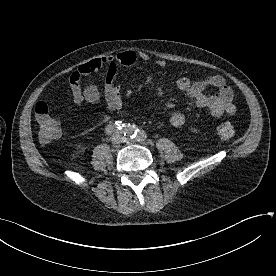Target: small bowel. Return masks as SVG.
<instances>
[{"mask_svg":"<svg viewBox=\"0 0 276 276\" xmlns=\"http://www.w3.org/2000/svg\"><path fill=\"white\" fill-rule=\"evenodd\" d=\"M149 55L141 51L127 50L116 55H110L92 59L79 67L71 74L66 92L68 97L77 105L88 102L97 105L101 102V93L94 84H88L84 88L81 86L82 77L93 72L105 71V83L103 96L106 107L111 110H117L122 106L120 90L114 85V79L119 66H132L138 61H148ZM158 67H164L165 62L159 60L156 62ZM177 87L180 91L191 98L197 107L209 109L212 115L220 117L223 115H232L235 112V106L232 102L233 92L226 84L221 75H209L199 81L193 82L189 78L181 77L177 81ZM212 87L211 91H206ZM186 122V116L183 112L176 111L170 117V123L174 127H182ZM190 131L198 132L199 129L191 127Z\"/></svg>","mask_w":276,"mask_h":276,"instance_id":"obj_1","label":"small bowel"}]
</instances>
